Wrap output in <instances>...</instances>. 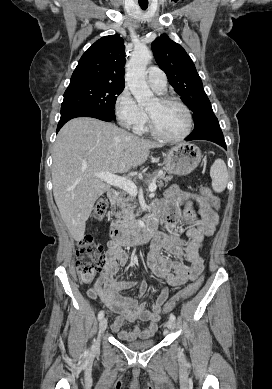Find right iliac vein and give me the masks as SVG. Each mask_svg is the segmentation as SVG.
Instances as JSON below:
<instances>
[{
    "instance_id": "63e3f726",
    "label": "right iliac vein",
    "mask_w": 272,
    "mask_h": 389,
    "mask_svg": "<svg viewBox=\"0 0 272 389\" xmlns=\"http://www.w3.org/2000/svg\"><path fill=\"white\" fill-rule=\"evenodd\" d=\"M106 327H107V319L103 318V319H101V321L99 323V332H98L97 339L95 340V343H94L95 348L99 347L101 336H102L103 332L106 330Z\"/></svg>"
}]
</instances>
